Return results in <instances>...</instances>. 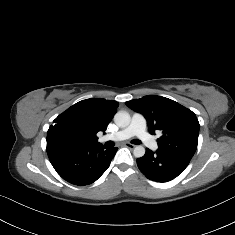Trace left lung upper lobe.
<instances>
[{
	"label": "left lung upper lobe",
	"instance_id": "1",
	"mask_svg": "<svg viewBox=\"0 0 235 235\" xmlns=\"http://www.w3.org/2000/svg\"><path fill=\"white\" fill-rule=\"evenodd\" d=\"M125 104L144 115L150 134L161 131L162 136L157 140L158 150L191 160L197 149L200 128L194 112L171 99L156 95Z\"/></svg>",
	"mask_w": 235,
	"mask_h": 235
}]
</instances>
